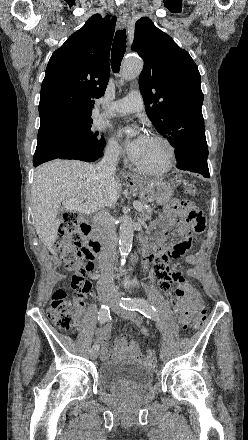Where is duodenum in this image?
Instances as JSON below:
<instances>
[{
  "instance_id": "obj_1",
  "label": "duodenum",
  "mask_w": 248,
  "mask_h": 440,
  "mask_svg": "<svg viewBox=\"0 0 248 440\" xmlns=\"http://www.w3.org/2000/svg\"><path fill=\"white\" fill-rule=\"evenodd\" d=\"M82 231L85 237L87 238V241L91 247V249L95 252L99 260H102L103 258V246L99 238H97L95 235L92 234L91 231V224L89 220L84 219L82 223ZM156 251V248L149 243H146L143 247L144 254L148 255L151 253H154Z\"/></svg>"
}]
</instances>
